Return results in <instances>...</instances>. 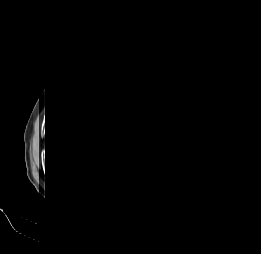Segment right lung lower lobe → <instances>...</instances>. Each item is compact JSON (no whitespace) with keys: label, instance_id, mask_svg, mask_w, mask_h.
<instances>
[{"label":"right lung lower lobe","instance_id":"obj_1","mask_svg":"<svg viewBox=\"0 0 261 254\" xmlns=\"http://www.w3.org/2000/svg\"><path fill=\"white\" fill-rule=\"evenodd\" d=\"M100 135L84 126L52 118L45 129V155L56 187L82 200L97 199L106 186L109 162L99 156Z\"/></svg>","mask_w":261,"mask_h":254}]
</instances>
